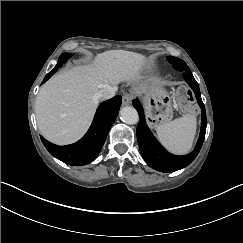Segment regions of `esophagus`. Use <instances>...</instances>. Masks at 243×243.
I'll list each match as a JSON object with an SVG mask.
<instances>
[{"instance_id": "obj_1", "label": "esophagus", "mask_w": 243, "mask_h": 243, "mask_svg": "<svg viewBox=\"0 0 243 243\" xmlns=\"http://www.w3.org/2000/svg\"><path fill=\"white\" fill-rule=\"evenodd\" d=\"M131 101V95L125 94L123 95V105H128Z\"/></svg>"}]
</instances>
